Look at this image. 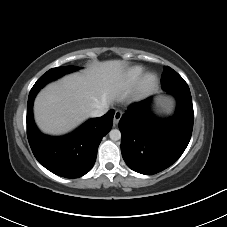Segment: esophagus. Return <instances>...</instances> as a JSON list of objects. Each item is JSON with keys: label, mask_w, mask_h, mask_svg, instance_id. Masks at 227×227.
<instances>
[{"label": "esophagus", "mask_w": 227, "mask_h": 227, "mask_svg": "<svg viewBox=\"0 0 227 227\" xmlns=\"http://www.w3.org/2000/svg\"><path fill=\"white\" fill-rule=\"evenodd\" d=\"M122 117V112L120 110H116L114 114V125H117L119 123L120 118Z\"/></svg>", "instance_id": "esophagus-1"}]
</instances>
